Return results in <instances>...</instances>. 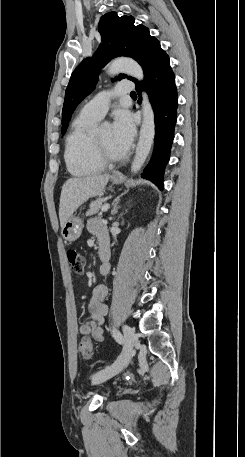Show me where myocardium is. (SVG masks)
Returning <instances> with one entry per match:
<instances>
[{
    "instance_id": "myocardium-1",
    "label": "myocardium",
    "mask_w": 245,
    "mask_h": 457,
    "mask_svg": "<svg viewBox=\"0 0 245 457\" xmlns=\"http://www.w3.org/2000/svg\"><path fill=\"white\" fill-rule=\"evenodd\" d=\"M86 155L88 159L96 165L105 166L118 161H121L127 157L126 153L121 155H103L99 152L96 142L95 131L91 130L86 139Z\"/></svg>"
}]
</instances>
